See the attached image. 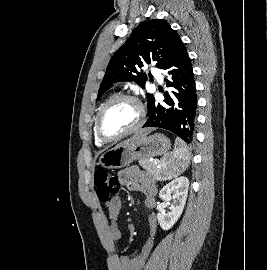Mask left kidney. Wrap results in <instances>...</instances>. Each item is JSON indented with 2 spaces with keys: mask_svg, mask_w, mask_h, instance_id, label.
<instances>
[{
  "mask_svg": "<svg viewBox=\"0 0 267 270\" xmlns=\"http://www.w3.org/2000/svg\"><path fill=\"white\" fill-rule=\"evenodd\" d=\"M189 188L188 178L182 176L167 183L159 192V197L164 201H172L171 211H161L157 214L160 227L167 231L171 229L180 218L186 204Z\"/></svg>",
  "mask_w": 267,
  "mask_h": 270,
  "instance_id": "5707ae66",
  "label": "left kidney"
}]
</instances>
